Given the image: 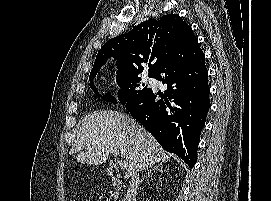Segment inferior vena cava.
<instances>
[{
  "instance_id": "602c4592",
  "label": "inferior vena cava",
  "mask_w": 271,
  "mask_h": 201,
  "mask_svg": "<svg viewBox=\"0 0 271 201\" xmlns=\"http://www.w3.org/2000/svg\"><path fill=\"white\" fill-rule=\"evenodd\" d=\"M139 171L140 170H138L136 175L132 178V181H130V187L127 190L124 201H136L137 188L140 184Z\"/></svg>"
}]
</instances>
